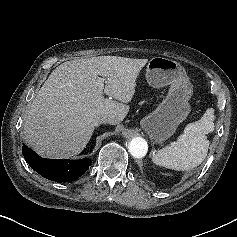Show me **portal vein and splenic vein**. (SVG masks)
Instances as JSON below:
<instances>
[{
    "mask_svg": "<svg viewBox=\"0 0 237 237\" xmlns=\"http://www.w3.org/2000/svg\"><path fill=\"white\" fill-rule=\"evenodd\" d=\"M97 81H98V88H99V90L103 91V89H104V79L101 78V77H98Z\"/></svg>",
    "mask_w": 237,
    "mask_h": 237,
    "instance_id": "18ae733b",
    "label": "portal vein and splenic vein"
}]
</instances>
